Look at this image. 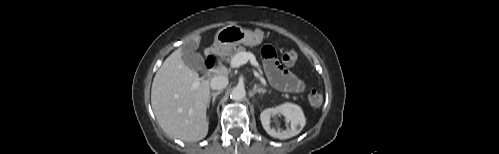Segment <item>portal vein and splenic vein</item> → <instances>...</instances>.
Returning <instances> with one entry per match:
<instances>
[{
  "mask_svg": "<svg viewBox=\"0 0 499 154\" xmlns=\"http://www.w3.org/2000/svg\"><path fill=\"white\" fill-rule=\"evenodd\" d=\"M251 61V63L254 65V66H257L258 67V63L255 61V57L253 54L251 53H247V52H240L238 54H236L232 60H231V66L232 67H239L241 65H244L246 64L248 61ZM259 69V73L256 72L255 75L256 76H259L260 77V80L263 84H266V80L264 79L263 77V72L260 68ZM199 86V82H194L192 84V88L193 89H196L197 87Z\"/></svg>",
  "mask_w": 499,
  "mask_h": 154,
  "instance_id": "obj_1",
  "label": "portal vein and splenic vein"
}]
</instances>
